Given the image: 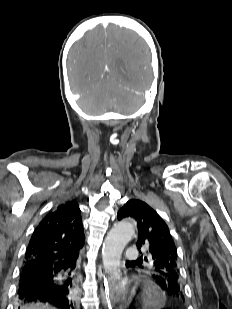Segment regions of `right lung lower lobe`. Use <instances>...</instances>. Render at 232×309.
<instances>
[{"label":"right lung lower lobe","mask_w":232,"mask_h":309,"mask_svg":"<svg viewBox=\"0 0 232 309\" xmlns=\"http://www.w3.org/2000/svg\"><path fill=\"white\" fill-rule=\"evenodd\" d=\"M75 263H54L47 268H39L36 263L25 262L17 289L18 309L35 303L75 309L73 278L70 276Z\"/></svg>","instance_id":"right-lung-lower-lobe-1"}]
</instances>
